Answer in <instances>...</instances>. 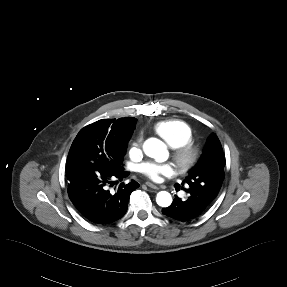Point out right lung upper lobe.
Wrapping results in <instances>:
<instances>
[{
    "label": "right lung upper lobe",
    "mask_w": 287,
    "mask_h": 287,
    "mask_svg": "<svg viewBox=\"0 0 287 287\" xmlns=\"http://www.w3.org/2000/svg\"><path fill=\"white\" fill-rule=\"evenodd\" d=\"M136 119H103L86 126L104 143L121 144L128 142L135 128Z\"/></svg>",
    "instance_id": "obj_1"
}]
</instances>
